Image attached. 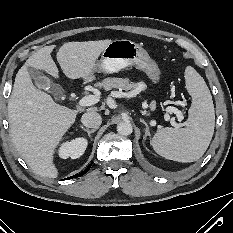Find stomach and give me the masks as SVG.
I'll return each mask as SVG.
<instances>
[{
  "instance_id": "stomach-1",
  "label": "stomach",
  "mask_w": 233,
  "mask_h": 233,
  "mask_svg": "<svg viewBox=\"0 0 233 233\" xmlns=\"http://www.w3.org/2000/svg\"><path fill=\"white\" fill-rule=\"evenodd\" d=\"M129 66L142 70L154 83L159 80L160 70L148 52L127 39L111 41L102 51L94 72L117 73Z\"/></svg>"
}]
</instances>
